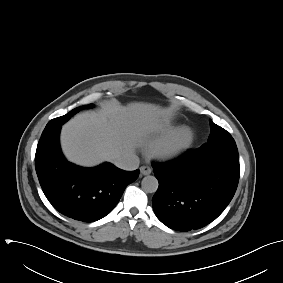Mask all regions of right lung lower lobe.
<instances>
[{"mask_svg": "<svg viewBox=\"0 0 283 283\" xmlns=\"http://www.w3.org/2000/svg\"><path fill=\"white\" fill-rule=\"evenodd\" d=\"M61 125L44 130L37 146L35 167L42 190L61 214L82 222L105 217L116 206L139 170L127 172L110 163L82 168L63 156Z\"/></svg>", "mask_w": 283, "mask_h": 283, "instance_id": "98d812e1", "label": "right lung lower lobe"}]
</instances>
